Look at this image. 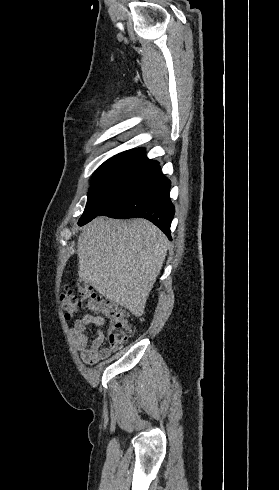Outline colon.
<instances>
[{
	"instance_id": "5ec220e1",
	"label": "colon",
	"mask_w": 279,
	"mask_h": 490,
	"mask_svg": "<svg viewBox=\"0 0 279 490\" xmlns=\"http://www.w3.org/2000/svg\"><path fill=\"white\" fill-rule=\"evenodd\" d=\"M79 295L66 286L60 292L62 308L67 320L77 315L83 306L88 312L100 316L108 324L106 333L111 350H120L135 334V327L128 321L127 314L97 295L89 283H81Z\"/></svg>"
}]
</instances>
